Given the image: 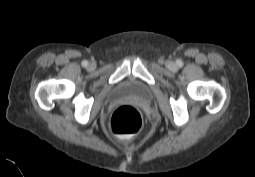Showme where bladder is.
I'll use <instances>...</instances> for the list:
<instances>
[{
	"mask_svg": "<svg viewBox=\"0 0 255 177\" xmlns=\"http://www.w3.org/2000/svg\"><path fill=\"white\" fill-rule=\"evenodd\" d=\"M150 95L149 86L135 77L122 80L111 92V97L114 99L132 97L140 101H146L150 98Z\"/></svg>",
	"mask_w": 255,
	"mask_h": 177,
	"instance_id": "1",
	"label": "bladder"
}]
</instances>
